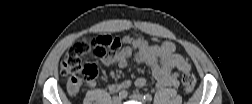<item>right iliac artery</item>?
Instances as JSON below:
<instances>
[{"mask_svg":"<svg viewBox=\"0 0 252 104\" xmlns=\"http://www.w3.org/2000/svg\"><path fill=\"white\" fill-rule=\"evenodd\" d=\"M127 91H122V92H120L119 93V96L121 97V98H126L127 97Z\"/></svg>","mask_w":252,"mask_h":104,"instance_id":"1","label":"right iliac artery"}]
</instances>
